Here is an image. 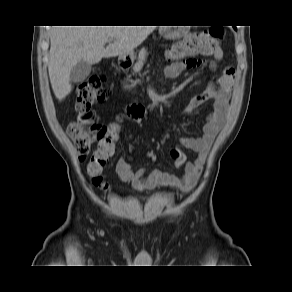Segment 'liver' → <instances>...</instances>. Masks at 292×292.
<instances>
[{
	"label": "liver",
	"instance_id": "6515ba94",
	"mask_svg": "<svg viewBox=\"0 0 292 292\" xmlns=\"http://www.w3.org/2000/svg\"><path fill=\"white\" fill-rule=\"evenodd\" d=\"M153 26H55L50 36L48 72L56 98L71 91L70 73L80 61L99 63L102 58L127 55L141 45ZM113 41L106 48L105 43Z\"/></svg>",
	"mask_w": 292,
	"mask_h": 292
}]
</instances>
